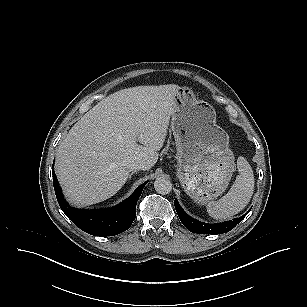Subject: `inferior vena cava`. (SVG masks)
Masks as SVG:
<instances>
[{
	"label": "inferior vena cava",
	"instance_id": "1",
	"mask_svg": "<svg viewBox=\"0 0 307 307\" xmlns=\"http://www.w3.org/2000/svg\"><path fill=\"white\" fill-rule=\"evenodd\" d=\"M126 168L128 170H144L145 169V165L143 162H140V161H129L127 164H126Z\"/></svg>",
	"mask_w": 307,
	"mask_h": 307
}]
</instances>
